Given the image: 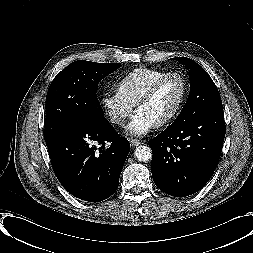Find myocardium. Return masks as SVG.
I'll use <instances>...</instances> for the list:
<instances>
[{
	"instance_id": "myocardium-1",
	"label": "myocardium",
	"mask_w": 253,
	"mask_h": 253,
	"mask_svg": "<svg viewBox=\"0 0 253 253\" xmlns=\"http://www.w3.org/2000/svg\"><path fill=\"white\" fill-rule=\"evenodd\" d=\"M169 77H177L181 84H182V95L181 99L177 105V107L167 116L165 117L162 121L158 122L156 126L162 127L171 124L182 112L184 109V106L187 102L188 99V93H189V88H188V82L186 77L179 71H167L158 78H156L143 92V94L140 96V98L137 100L135 104V110L147 103L154 95L160 84L166 80Z\"/></svg>"
}]
</instances>
